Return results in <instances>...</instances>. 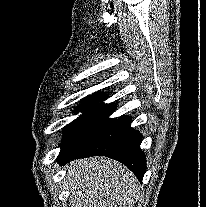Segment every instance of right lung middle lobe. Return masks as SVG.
<instances>
[{
    "instance_id": "1",
    "label": "right lung middle lobe",
    "mask_w": 206,
    "mask_h": 207,
    "mask_svg": "<svg viewBox=\"0 0 206 207\" xmlns=\"http://www.w3.org/2000/svg\"><path fill=\"white\" fill-rule=\"evenodd\" d=\"M102 101L82 100L83 103L76 110L83 114L64 128V139L60 146L62 150L81 147L117 119L109 118L115 107Z\"/></svg>"
}]
</instances>
